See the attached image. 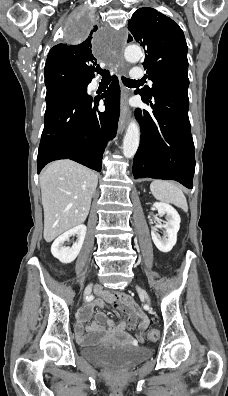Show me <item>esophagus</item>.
Returning <instances> with one entry per match:
<instances>
[{
    "label": "esophagus",
    "mask_w": 228,
    "mask_h": 396,
    "mask_svg": "<svg viewBox=\"0 0 228 396\" xmlns=\"http://www.w3.org/2000/svg\"><path fill=\"white\" fill-rule=\"evenodd\" d=\"M125 67V62L120 60L119 62V72L122 73L123 69ZM129 106H128V94L127 92L122 89L121 92V107H120V117L118 121V133L121 134L128 122V117H129Z\"/></svg>",
    "instance_id": "1"
}]
</instances>
